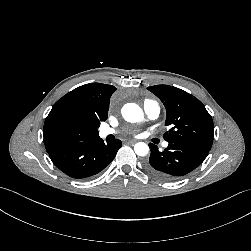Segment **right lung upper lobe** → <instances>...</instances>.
Returning a JSON list of instances; mask_svg holds the SVG:
<instances>
[{"mask_svg": "<svg viewBox=\"0 0 251 251\" xmlns=\"http://www.w3.org/2000/svg\"><path fill=\"white\" fill-rule=\"evenodd\" d=\"M116 88L112 85L89 83L80 86L61 99L52 107L44 123V144L50 150L60 140L53 137L51 124L60 115H71L83 121L93 137L98 135L97 128L101 121L107 120L110 97Z\"/></svg>", "mask_w": 251, "mask_h": 251, "instance_id": "1", "label": "right lung upper lobe"}]
</instances>
